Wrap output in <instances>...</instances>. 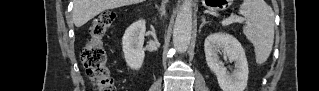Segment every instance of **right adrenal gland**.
Here are the masks:
<instances>
[{
    "mask_svg": "<svg viewBox=\"0 0 319 91\" xmlns=\"http://www.w3.org/2000/svg\"><path fill=\"white\" fill-rule=\"evenodd\" d=\"M166 3H167V1L163 0L161 3V6H158L157 4H155V8L160 13L161 17L166 15Z\"/></svg>",
    "mask_w": 319,
    "mask_h": 91,
    "instance_id": "right-adrenal-gland-1",
    "label": "right adrenal gland"
}]
</instances>
